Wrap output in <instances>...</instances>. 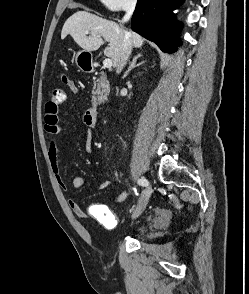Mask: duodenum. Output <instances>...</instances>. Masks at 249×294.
Masks as SVG:
<instances>
[{"mask_svg":"<svg viewBox=\"0 0 249 294\" xmlns=\"http://www.w3.org/2000/svg\"><path fill=\"white\" fill-rule=\"evenodd\" d=\"M84 70L88 72H93L94 71V65L93 64H87L84 66ZM98 107H99V102L96 101L92 104V106L87 110V114L89 118L96 122L97 116H98Z\"/></svg>","mask_w":249,"mask_h":294,"instance_id":"410a0bca","label":"duodenum"}]
</instances>
